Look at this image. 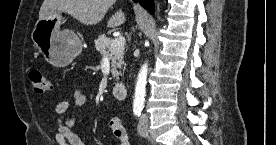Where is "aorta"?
Returning a JSON list of instances; mask_svg holds the SVG:
<instances>
[{
    "label": "aorta",
    "instance_id": "762f6f07",
    "mask_svg": "<svg viewBox=\"0 0 276 145\" xmlns=\"http://www.w3.org/2000/svg\"><path fill=\"white\" fill-rule=\"evenodd\" d=\"M148 75V65L144 63L138 73L137 82L135 86L134 106L141 107L144 105L146 83Z\"/></svg>",
    "mask_w": 276,
    "mask_h": 145
}]
</instances>
